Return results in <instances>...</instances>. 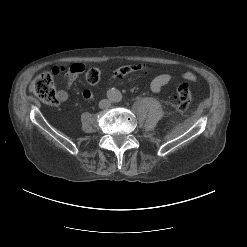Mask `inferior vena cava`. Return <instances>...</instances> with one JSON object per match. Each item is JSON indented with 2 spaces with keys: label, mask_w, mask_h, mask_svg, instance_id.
Returning a JSON list of instances; mask_svg holds the SVG:
<instances>
[{
  "label": "inferior vena cava",
  "mask_w": 247,
  "mask_h": 247,
  "mask_svg": "<svg viewBox=\"0 0 247 247\" xmlns=\"http://www.w3.org/2000/svg\"><path fill=\"white\" fill-rule=\"evenodd\" d=\"M110 101L108 99H102L100 102H99V107L101 109H105V108H108L110 106Z\"/></svg>",
  "instance_id": "602c4592"
}]
</instances>
